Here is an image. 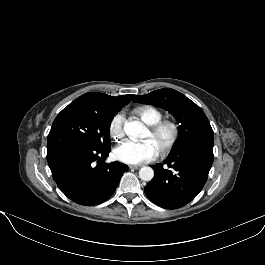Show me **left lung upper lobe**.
I'll return each mask as SVG.
<instances>
[{"instance_id":"obj_1","label":"left lung upper lobe","mask_w":265,"mask_h":265,"mask_svg":"<svg viewBox=\"0 0 265 265\" xmlns=\"http://www.w3.org/2000/svg\"><path fill=\"white\" fill-rule=\"evenodd\" d=\"M133 101L158 106L168 111L180 123L179 138L174 148L181 146L182 143L198 133L212 130L203 110L174 89H159L146 95L136 96Z\"/></svg>"}]
</instances>
